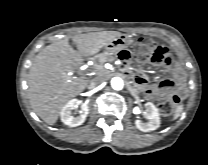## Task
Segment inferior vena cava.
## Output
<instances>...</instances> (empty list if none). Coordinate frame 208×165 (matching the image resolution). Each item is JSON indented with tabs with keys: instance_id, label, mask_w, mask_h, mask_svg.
<instances>
[{
	"instance_id": "602c4592",
	"label": "inferior vena cava",
	"mask_w": 208,
	"mask_h": 165,
	"mask_svg": "<svg viewBox=\"0 0 208 165\" xmlns=\"http://www.w3.org/2000/svg\"><path fill=\"white\" fill-rule=\"evenodd\" d=\"M104 81H105V79L103 77H96L91 81L90 86L97 87V86L103 84Z\"/></svg>"
}]
</instances>
